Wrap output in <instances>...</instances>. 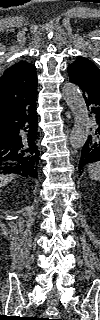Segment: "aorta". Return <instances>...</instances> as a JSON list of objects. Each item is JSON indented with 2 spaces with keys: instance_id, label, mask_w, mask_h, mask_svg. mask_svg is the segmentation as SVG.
<instances>
[{
  "instance_id": "obj_1",
  "label": "aorta",
  "mask_w": 100,
  "mask_h": 320,
  "mask_svg": "<svg viewBox=\"0 0 100 320\" xmlns=\"http://www.w3.org/2000/svg\"><path fill=\"white\" fill-rule=\"evenodd\" d=\"M63 99L74 115V126L70 134V145L79 149L85 144L90 132V117L84 98L73 83H65L62 87Z\"/></svg>"
}]
</instances>
